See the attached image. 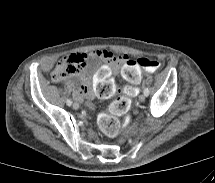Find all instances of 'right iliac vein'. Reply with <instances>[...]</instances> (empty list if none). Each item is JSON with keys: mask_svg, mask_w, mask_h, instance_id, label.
<instances>
[{"mask_svg": "<svg viewBox=\"0 0 215 183\" xmlns=\"http://www.w3.org/2000/svg\"><path fill=\"white\" fill-rule=\"evenodd\" d=\"M73 108H74L75 110L79 109V104L75 102V103L73 104Z\"/></svg>", "mask_w": 215, "mask_h": 183, "instance_id": "right-iliac-vein-1", "label": "right iliac vein"}]
</instances>
